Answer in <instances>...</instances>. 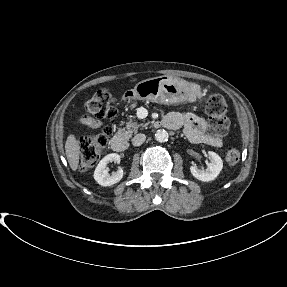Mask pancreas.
<instances>
[{"label":"pancreas","mask_w":287,"mask_h":287,"mask_svg":"<svg viewBox=\"0 0 287 287\" xmlns=\"http://www.w3.org/2000/svg\"><path fill=\"white\" fill-rule=\"evenodd\" d=\"M146 125L138 124L136 122L128 121L125 123V127L121 129V132L127 138H130L133 134L138 132V129L145 127Z\"/></svg>","instance_id":"obj_1"}]
</instances>
